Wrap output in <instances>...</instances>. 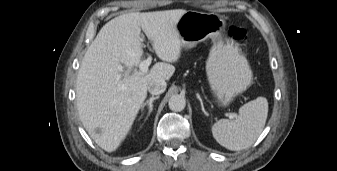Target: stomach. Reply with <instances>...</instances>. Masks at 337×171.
<instances>
[{
	"label": "stomach",
	"instance_id": "stomach-1",
	"mask_svg": "<svg viewBox=\"0 0 337 171\" xmlns=\"http://www.w3.org/2000/svg\"><path fill=\"white\" fill-rule=\"evenodd\" d=\"M226 22L222 15L187 11L176 24L182 46L195 47L208 38L214 44L206 62L210 88L223 105L227 106L252 83V71L239 45L223 37Z\"/></svg>",
	"mask_w": 337,
	"mask_h": 171
}]
</instances>
